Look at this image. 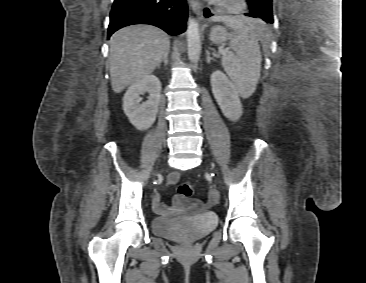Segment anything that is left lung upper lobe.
Here are the masks:
<instances>
[{"label": "left lung upper lobe", "mask_w": 366, "mask_h": 283, "mask_svg": "<svg viewBox=\"0 0 366 283\" xmlns=\"http://www.w3.org/2000/svg\"><path fill=\"white\" fill-rule=\"evenodd\" d=\"M252 12L268 23H273L272 0H246Z\"/></svg>", "instance_id": "5c2ea615"}]
</instances>
